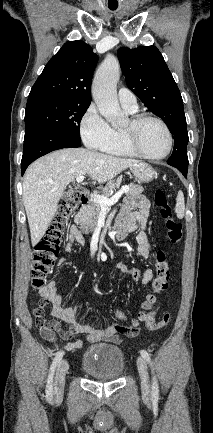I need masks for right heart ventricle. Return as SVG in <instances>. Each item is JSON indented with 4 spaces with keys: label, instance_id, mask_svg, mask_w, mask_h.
<instances>
[{
    "label": "right heart ventricle",
    "instance_id": "1",
    "mask_svg": "<svg viewBox=\"0 0 213 433\" xmlns=\"http://www.w3.org/2000/svg\"><path fill=\"white\" fill-rule=\"evenodd\" d=\"M125 110L130 114H134L137 111V109L130 110L127 108H125ZM101 150L104 153L114 155V156H122V157L135 156V154L127 147L124 141L122 135V129H117V128H111L110 138Z\"/></svg>",
    "mask_w": 213,
    "mask_h": 433
}]
</instances>
